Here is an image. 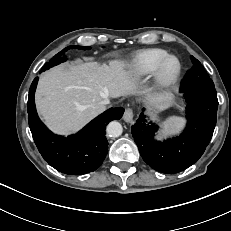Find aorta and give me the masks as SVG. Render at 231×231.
<instances>
[{
	"mask_svg": "<svg viewBox=\"0 0 231 231\" xmlns=\"http://www.w3.org/2000/svg\"><path fill=\"white\" fill-rule=\"evenodd\" d=\"M123 132L122 125L117 121H112L107 125V134L110 137L117 138Z\"/></svg>",
	"mask_w": 231,
	"mask_h": 231,
	"instance_id": "762f6f07",
	"label": "aorta"
}]
</instances>
